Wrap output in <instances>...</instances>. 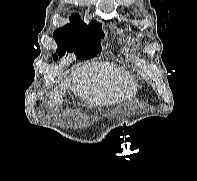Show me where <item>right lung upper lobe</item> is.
Wrapping results in <instances>:
<instances>
[{
  "mask_svg": "<svg viewBox=\"0 0 197 181\" xmlns=\"http://www.w3.org/2000/svg\"><path fill=\"white\" fill-rule=\"evenodd\" d=\"M80 19V17H79V15H77V14H73L71 17H70V20H72V21H74V20H79Z\"/></svg>",
  "mask_w": 197,
  "mask_h": 181,
  "instance_id": "obj_1",
  "label": "right lung upper lobe"
}]
</instances>
